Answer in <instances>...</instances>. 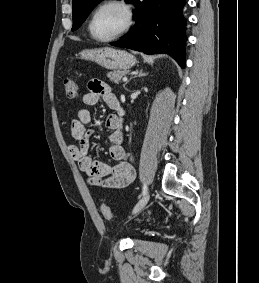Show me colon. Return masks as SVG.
I'll return each mask as SVG.
<instances>
[{"label":"colon","mask_w":259,"mask_h":283,"mask_svg":"<svg viewBox=\"0 0 259 283\" xmlns=\"http://www.w3.org/2000/svg\"><path fill=\"white\" fill-rule=\"evenodd\" d=\"M65 95L69 100L75 99L77 96V84L72 77H66L63 81ZM101 213L104 217H111L110 207L106 204H102L100 207Z\"/></svg>","instance_id":"colon-1"}]
</instances>
